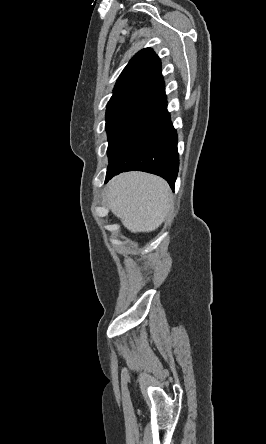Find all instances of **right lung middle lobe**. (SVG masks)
Masks as SVG:
<instances>
[{"mask_svg":"<svg viewBox=\"0 0 266 444\" xmlns=\"http://www.w3.org/2000/svg\"><path fill=\"white\" fill-rule=\"evenodd\" d=\"M165 108L166 102L150 96H132L109 102L105 125L108 158L116 155Z\"/></svg>","mask_w":266,"mask_h":444,"instance_id":"1","label":"right lung middle lobe"}]
</instances>
